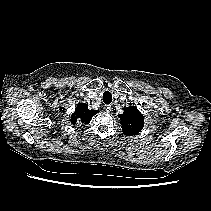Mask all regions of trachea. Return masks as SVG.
<instances>
[{"label": "trachea", "instance_id": "trachea-1", "mask_svg": "<svg viewBox=\"0 0 211 211\" xmlns=\"http://www.w3.org/2000/svg\"><path fill=\"white\" fill-rule=\"evenodd\" d=\"M103 101L105 104H110L112 102V95L109 91L103 93Z\"/></svg>", "mask_w": 211, "mask_h": 211}]
</instances>
